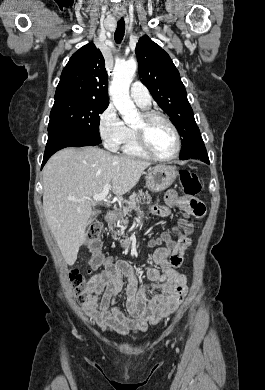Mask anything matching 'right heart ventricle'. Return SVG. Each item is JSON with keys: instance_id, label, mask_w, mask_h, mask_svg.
I'll use <instances>...</instances> for the list:
<instances>
[{"instance_id": "obj_1", "label": "right heart ventricle", "mask_w": 265, "mask_h": 390, "mask_svg": "<svg viewBox=\"0 0 265 390\" xmlns=\"http://www.w3.org/2000/svg\"><path fill=\"white\" fill-rule=\"evenodd\" d=\"M119 148L124 155L132 158H137V159L150 158L140 148L133 127H127L126 135Z\"/></svg>"}]
</instances>
